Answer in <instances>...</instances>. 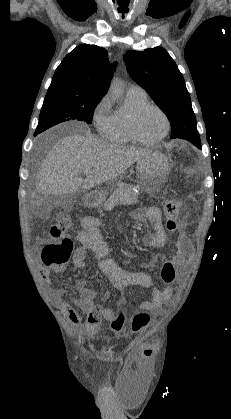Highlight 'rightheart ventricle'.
<instances>
[{
  "mask_svg": "<svg viewBox=\"0 0 231 419\" xmlns=\"http://www.w3.org/2000/svg\"><path fill=\"white\" fill-rule=\"evenodd\" d=\"M148 103L146 94L127 92L126 106L116 112V132L112 138L113 142L126 144L135 142L129 128V118L134 109Z\"/></svg>",
  "mask_w": 231,
  "mask_h": 419,
  "instance_id": "right-heart-ventricle-1",
  "label": "right heart ventricle"
}]
</instances>
